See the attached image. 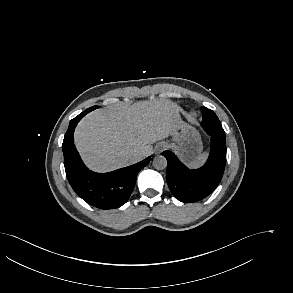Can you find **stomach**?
<instances>
[{
    "label": "stomach",
    "mask_w": 293,
    "mask_h": 293,
    "mask_svg": "<svg viewBox=\"0 0 293 293\" xmlns=\"http://www.w3.org/2000/svg\"><path fill=\"white\" fill-rule=\"evenodd\" d=\"M171 136L173 142L169 146H176L178 155L186 164L190 165L201 154L203 145L199 133L182 120L174 123Z\"/></svg>",
    "instance_id": "obj_1"
}]
</instances>
